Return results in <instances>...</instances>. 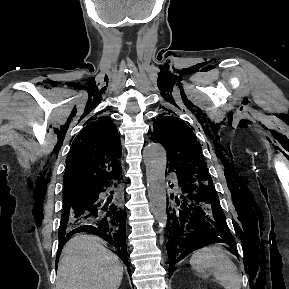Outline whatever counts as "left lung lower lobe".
Listing matches in <instances>:
<instances>
[{
    "label": "left lung lower lobe",
    "mask_w": 289,
    "mask_h": 289,
    "mask_svg": "<svg viewBox=\"0 0 289 289\" xmlns=\"http://www.w3.org/2000/svg\"><path fill=\"white\" fill-rule=\"evenodd\" d=\"M176 174L179 191L170 195V202L167 198L166 209L170 274L175 263L207 244L222 242L236 248L214 186Z\"/></svg>",
    "instance_id": "1"
}]
</instances>
